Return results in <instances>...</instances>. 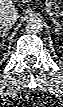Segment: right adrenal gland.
<instances>
[{"label": "right adrenal gland", "mask_w": 63, "mask_h": 107, "mask_svg": "<svg viewBox=\"0 0 63 107\" xmlns=\"http://www.w3.org/2000/svg\"><path fill=\"white\" fill-rule=\"evenodd\" d=\"M11 29V27H8V28H4L0 30V38H1V42L2 44L4 43V38L6 36V32L9 31Z\"/></svg>", "instance_id": "1"}]
</instances>
